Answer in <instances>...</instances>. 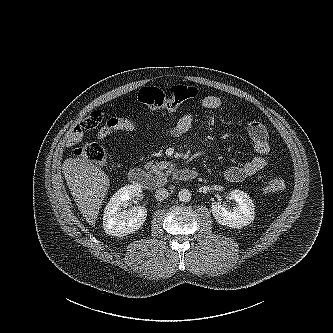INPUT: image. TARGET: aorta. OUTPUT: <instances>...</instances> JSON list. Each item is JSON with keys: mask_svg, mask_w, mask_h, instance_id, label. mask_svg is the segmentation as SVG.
I'll list each match as a JSON object with an SVG mask.
<instances>
[{"mask_svg": "<svg viewBox=\"0 0 333 333\" xmlns=\"http://www.w3.org/2000/svg\"><path fill=\"white\" fill-rule=\"evenodd\" d=\"M179 201L189 202L191 200V192L188 189H181L178 193Z\"/></svg>", "mask_w": 333, "mask_h": 333, "instance_id": "762f6f07", "label": "aorta"}]
</instances>
